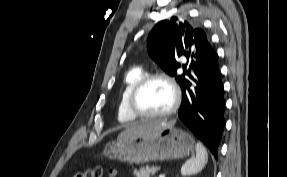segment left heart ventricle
Masks as SVG:
<instances>
[{
    "mask_svg": "<svg viewBox=\"0 0 287 177\" xmlns=\"http://www.w3.org/2000/svg\"><path fill=\"white\" fill-rule=\"evenodd\" d=\"M136 103L142 112L163 113L173 103L172 91L165 82L153 80L140 91Z\"/></svg>",
    "mask_w": 287,
    "mask_h": 177,
    "instance_id": "b2bd125f",
    "label": "left heart ventricle"
}]
</instances>
